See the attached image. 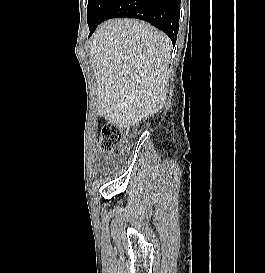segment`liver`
I'll return each mask as SVG.
<instances>
[{"mask_svg": "<svg viewBox=\"0 0 265 273\" xmlns=\"http://www.w3.org/2000/svg\"><path fill=\"white\" fill-rule=\"evenodd\" d=\"M171 41L150 24L112 19L92 36L90 56L97 81V111L129 129L157 113L168 91Z\"/></svg>", "mask_w": 265, "mask_h": 273, "instance_id": "liver-1", "label": "liver"}]
</instances>
